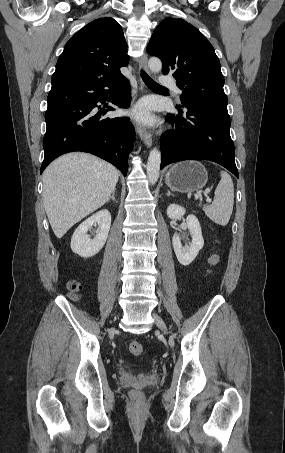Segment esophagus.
I'll list each match as a JSON object with an SVG mask.
<instances>
[{
	"mask_svg": "<svg viewBox=\"0 0 285 453\" xmlns=\"http://www.w3.org/2000/svg\"><path fill=\"white\" fill-rule=\"evenodd\" d=\"M140 64H141V68L145 72L149 71V69H148V58H147L146 54H143L141 56ZM141 90L142 91L145 90V86H144V83H143L142 80H141ZM136 129H137V132H138L140 138L143 140L144 144L147 147H151V145H152V136H151V134L142 125H137Z\"/></svg>",
	"mask_w": 285,
	"mask_h": 453,
	"instance_id": "34e87169",
	"label": "esophagus"
}]
</instances>
